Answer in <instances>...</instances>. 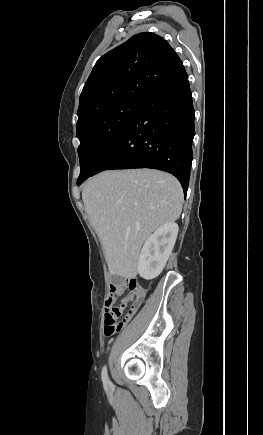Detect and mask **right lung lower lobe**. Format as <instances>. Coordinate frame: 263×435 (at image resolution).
I'll use <instances>...</instances> for the list:
<instances>
[{
    "label": "right lung lower lobe",
    "mask_w": 263,
    "mask_h": 435,
    "mask_svg": "<svg viewBox=\"0 0 263 435\" xmlns=\"http://www.w3.org/2000/svg\"><path fill=\"white\" fill-rule=\"evenodd\" d=\"M194 118L188 75L183 67L143 102L93 175L111 169H158L174 175L186 196Z\"/></svg>",
    "instance_id": "right-lung-lower-lobe-1"
}]
</instances>
